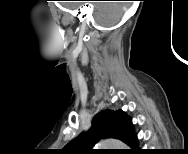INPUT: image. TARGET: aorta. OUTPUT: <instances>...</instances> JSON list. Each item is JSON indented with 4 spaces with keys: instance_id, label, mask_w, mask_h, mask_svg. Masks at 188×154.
Here are the masks:
<instances>
[{
    "instance_id": "1",
    "label": "aorta",
    "mask_w": 188,
    "mask_h": 154,
    "mask_svg": "<svg viewBox=\"0 0 188 154\" xmlns=\"http://www.w3.org/2000/svg\"><path fill=\"white\" fill-rule=\"evenodd\" d=\"M97 146L101 149H126V145L122 141L116 139L101 140Z\"/></svg>"
}]
</instances>
